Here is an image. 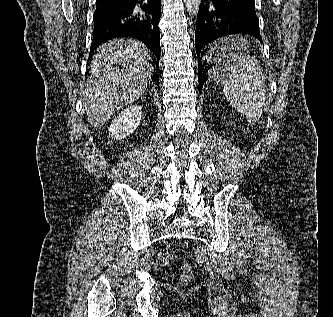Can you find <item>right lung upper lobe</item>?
Masks as SVG:
<instances>
[{
  "label": "right lung upper lobe",
  "instance_id": "right-lung-upper-lobe-1",
  "mask_svg": "<svg viewBox=\"0 0 333 317\" xmlns=\"http://www.w3.org/2000/svg\"><path fill=\"white\" fill-rule=\"evenodd\" d=\"M106 1H112V0H96V2H106Z\"/></svg>",
  "mask_w": 333,
  "mask_h": 317
}]
</instances>
